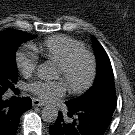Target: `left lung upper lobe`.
Listing matches in <instances>:
<instances>
[{"mask_svg":"<svg viewBox=\"0 0 135 135\" xmlns=\"http://www.w3.org/2000/svg\"><path fill=\"white\" fill-rule=\"evenodd\" d=\"M93 46L97 59V75L94 85L82 96L66 103L73 107L95 104H110L116 107L114 76L109 57L96 38H93Z\"/></svg>","mask_w":135,"mask_h":135,"instance_id":"5c2ea615","label":"left lung upper lobe"}]
</instances>
